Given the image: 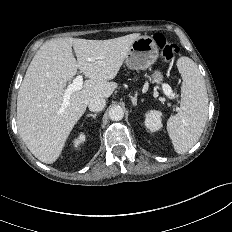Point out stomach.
<instances>
[{"label":"stomach","instance_id":"0dacf381","mask_svg":"<svg viewBox=\"0 0 232 232\" xmlns=\"http://www.w3.org/2000/svg\"><path fill=\"white\" fill-rule=\"evenodd\" d=\"M159 52L156 42L151 36H140L131 45L125 58L126 66L130 69L145 70L156 62ZM153 84H161L164 76L160 70H155L149 76Z\"/></svg>","mask_w":232,"mask_h":232}]
</instances>
